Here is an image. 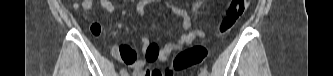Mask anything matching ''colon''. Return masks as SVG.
<instances>
[{"label": "colon", "instance_id": "colon-1", "mask_svg": "<svg viewBox=\"0 0 333 76\" xmlns=\"http://www.w3.org/2000/svg\"><path fill=\"white\" fill-rule=\"evenodd\" d=\"M247 4V0H232L230 2L229 7L218 27L220 35H226L231 31L237 19L246 10ZM206 56L207 50L205 47L200 45L190 47L178 54L174 58L171 66L165 68L164 72H167L168 76H171L175 71H182L189 67L201 64L205 60ZM147 71V75H149V69H147Z\"/></svg>", "mask_w": 333, "mask_h": 76}]
</instances>
